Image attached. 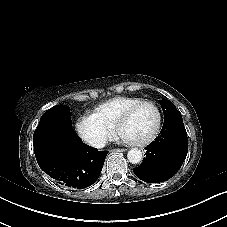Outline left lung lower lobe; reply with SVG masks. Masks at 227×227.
I'll return each mask as SVG.
<instances>
[{
  "label": "left lung lower lobe",
  "instance_id": "left-lung-lower-lobe-1",
  "mask_svg": "<svg viewBox=\"0 0 227 227\" xmlns=\"http://www.w3.org/2000/svg\"><path fill=\"white\" fill-rule=\"evenodd\" d=\"M161 135L146 147V157L135 175L147 183L163 182L180 169L188 152L187 133L181 118L164 122Z\"/></svg>",
  "mask_w": 227,
  "mask_h": 227
}]
</instances>
